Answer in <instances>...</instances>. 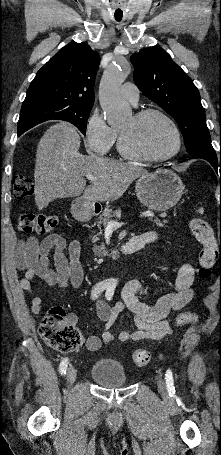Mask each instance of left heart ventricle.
I'll return each instance as SVG.
<instances>
[{
	"label": "left heart ventricle",
	"mask_w": 221,
	"mask_h": 455,
	"mask_svg": "<svg viewBox=\"0 0 221 455\" xmlns=\"http://www.w3.org/2000/svg\"><path fill=\"white\" fill-rule=\"evenodd\" d=\"M119 130L125 135L129 148L144 156L161 157L175 147L172 129L164 119L156 115L141 121L131 116Z\"/></svg>",
	"instance_id": "obj_1"
}]
</instances>
